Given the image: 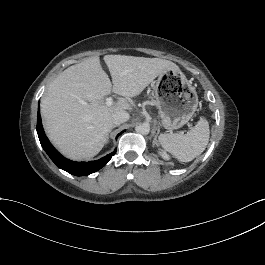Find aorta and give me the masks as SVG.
<instances>
[{"label": "aorta", "mask_w": 265, "mask_h": 265, "mask_svg": "<svg viewBox=\"0 0 265 265\" xmlns=\"http://www.w3.org/2000/svg\"><path fill=\"white\" fill-rule=\"evenodd\" d=\"M137 133L147 135L150 132V126L146 123L140 124L135 127Z\"/></svg>", "instance_id": "1"}]
</instances>
